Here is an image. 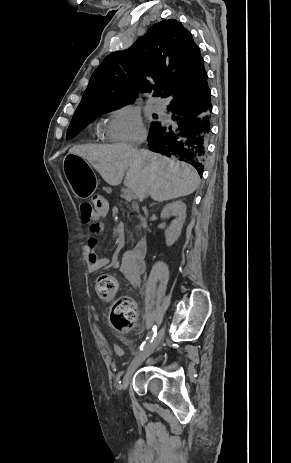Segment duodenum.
<instances>
[{"instance_id": "1", "label": "duodenum", "mask_w": 291, "mask_h": 463, "mask_svg": "<svg viewBox=\"0 0 291 463\" xmlns=\"http://www.w3.org/2000/svg\"><path fill=\"white\" fill-rule=\"evenodd\" d=\"M140 209L142 211H145L147 209V206L145 204H142L140 206ZM147 249H148V242L146 239H141L139 240L135 247H134V251L139 255V256H142V257H145L146 256V253H147Z\"/></svg>"}]
</instances>
